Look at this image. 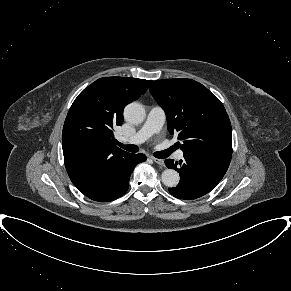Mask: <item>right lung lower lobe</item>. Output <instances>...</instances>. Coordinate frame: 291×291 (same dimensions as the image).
<instances>
[{
  "mask_svg": "<svg viewBox=\"0 0 291 291\" xmlns=\"http://www.w3.org/2000/svg\"><path fill=\"white\" fill-rule=\"evenodd\" d=\"M145 160L146 156L143 154H128L122 157L112 164L100 184L85 196L98 202H110L123 196L128 190L133 168Z\"/></svg>",
  "mask_w": 291,
  "mask_h": 291,
  "instance_id": "obj_1",
  "label": "right lung lower lobe"
}]
</instances>
